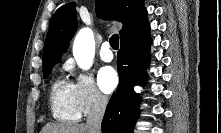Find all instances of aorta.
Segmentation results:
<instances>
[{"label": "aorta", "mask_w": 221, "mask_h": 133, "mask_svg": "<svg viewBox=\"0 0 221 133\" xmlns=\"http://www.w3.org/2000/svg\"><path fill=\"white\" fill-rule=\"evenodd\" d=\"M73 56L81 69L88 70L91 68L95 56L94 35L91 29L83 28L76 35L73 44Z\"/></svg>", "instance_id": "762f6f07"}]
</instances>
